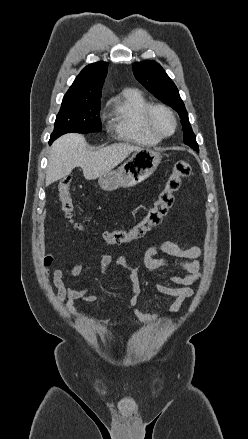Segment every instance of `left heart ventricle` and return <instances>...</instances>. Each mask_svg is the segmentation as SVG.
<instances>
[{"instance_id":"1","label":"left heart ventricle","mask_w":248,"mask_h":439,"mask_svg":"<svg viewBox=\"0 0 248 439\" xmlns=\"http://www.w3.org/2000/svg\"><path fill=\"white\" fill-rule=\"evenodd\" d=\"M154 123L157 129L162 133H170L173 129V123L170 116L162 110H157L154 114Z\"/></svg>"}]
</instances>
